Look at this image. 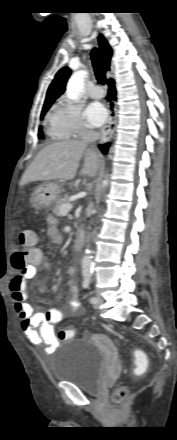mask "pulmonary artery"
Segmentation results:
<instances>
[{"label": "pulmonary artery", "instance_id": "1", "mask_svg": "<svg viewBox=\"0 0 177 440\" xmlns=\"http://www.w3.org/2000/svg\"><path fill=\"white\" fill-rule=\"evenodd\" d=\"M90 97L93 99H101L104 97V90L102 87L95 85L90 91Z\"/></svg>", "mask_w": 177, "mask_h": 440}]
</instances>
